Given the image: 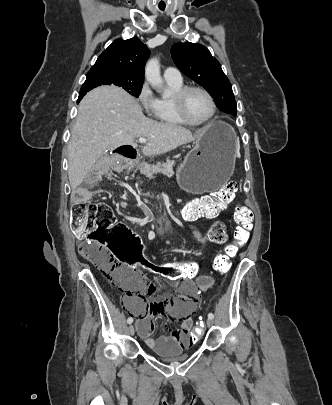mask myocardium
Wrapping results in <instances>:
<instances>
[{"label":"myocardium","instance_id":"obj_1","mask_svg":"<svg viewBox=\"0 0 332 405\" xmlns=\"http://www.w3.org/2000/svg\"><path fill=\"white\" fill-rule=\"evenodd\" d=\"M191 91H200V92H202L203 94H205L208 97V99L211 102V105H212L211 113L204 120L194 121V120L190 119L188 117V115H187V112H186V98H187L188 94ZM173 101H174L175 109H176V112H177L179 118L185 124H188V125H191V126L206 125V124L210 123L214 119V117H215V115L217 113V104H216V101H215L213 95L206 88H204L202 86L191 85V86L182 87L179 91H177L174 94Z\"/></svg>","mask_w":332,"mask_h":405}]
</instances>
